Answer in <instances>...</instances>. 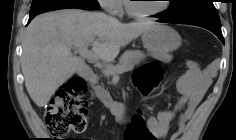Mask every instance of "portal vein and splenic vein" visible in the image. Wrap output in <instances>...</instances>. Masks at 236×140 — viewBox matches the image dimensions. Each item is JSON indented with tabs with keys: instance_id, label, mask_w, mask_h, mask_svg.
<instances>
[{
	"instance_id": "obj_1",
	"label": "portal vein and splenic vein",
	"mask_w": 236,
	"mask_h": 140,
	"mask_svg": "<svg viewBox=\"0 0 236 140\" xmlns=\"http://www.w3.org/2000/svg\"><path fill=\"white\" fill-rule=\"evenodd\" d=\"M77 51L79 52V54L86 59H89L90 61H97L98 60V56L93 52L88 50L87 46H83V47H77ZM115 73H122L124 72L122 69H114Z\"/></svg>"
}]
</instances>
